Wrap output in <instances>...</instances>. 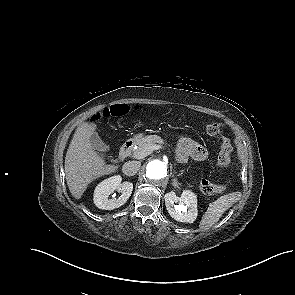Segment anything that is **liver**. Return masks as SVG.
Returning a JSON list of instances; mask_svg holds the SVG:
<instances>
[{
	"instance_id": "6515ba94",
	"label": "liver",
	"mask_w": 295,
	"mask_h": 295,
	"mask_svg": "<svg viewBox=\"0 0 295 295\" xmlns=\"http://www.w3.org/2000/svg\"><path fill=\"white\" fill-rule=\"evenodd\" d=\"M92 131H76L65 157L66 181L72 196L80 199L88 185L104 175L114 173L118 166L106 164L90 143Z\"/></svg>"
}]
</instances>
